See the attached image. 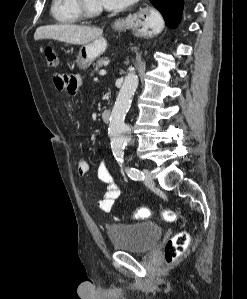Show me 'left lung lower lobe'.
Here are the masks:
<instances>
[{
	"label": "left lung lower lobe",
	"mask_w": 247,
	"mask_h": 299,
	"mask_svg": "<svg viewBox=\"0 0 247 299\" xmlns=\"http://www.w3.org/2000/svg\"><path fill=\"white\" fill-rule=\"evenodd\" d=\"M152 5L158 9L165 19V23L169 27H175L179 22L183 0H150Z\"/></svg>",
	"instance_id": "obj_1"
}]
</instances>
